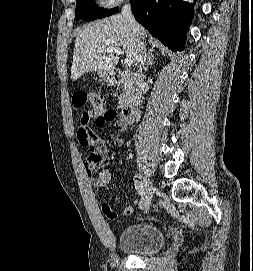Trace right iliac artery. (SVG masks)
<instances>
[{
	"label": "right iliac artery",
	"instance_id": "obj_1",
	"mask_svg": "<svg viewBox=\"0 0 253 271\" xmlns=\"http://www.w3.org/2000/svg\"><path fill=\"white\" fill-rule=\"evenodd\" d=\"M135 189L137 190V192H138L141 196H143V191H144V189H143V184H142V182H140L139 180H136V181H135Z\"/></svg>",
	"mask_w": 253,
	"mask_h": 271
}]
</instances>
